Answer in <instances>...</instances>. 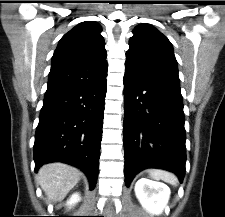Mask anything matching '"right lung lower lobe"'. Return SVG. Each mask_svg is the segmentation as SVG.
Listing matches in <instances>:
<instances>
[{
  "label": "right lung lower lobe",
  "mask_w": 225,
  "mask_h": 217,
  "mask_svg": "<svg viewBox=\"0 0 225 217\" xmlns=\"http://www.w3.org/2000/svg\"><path fill=\"white\" fill-rule=\"evenodd\" d=\"M106 78L88 86L46 93L34 143L35 170L50 162L80 168L91 189L98 174Z\"/></svg>",
  "instance_id": "right-lung-lower-lobe-1"
}]
</instances>
